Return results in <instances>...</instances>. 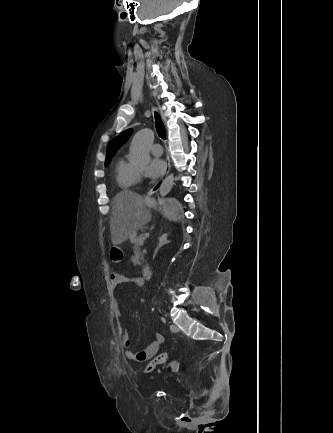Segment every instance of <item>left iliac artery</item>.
Instances as JSON below:
<instances>
[{
    "label": "left iliac artery",
    "mask_w": 333,
    "mask_h": 433,
    "mask_svg": "<svg viewBox=\"0 0 333 433\" xmlns=\"http://www.w3.org/2000/svg\"><path fill=\"white\" fill-rule=\"evenodd\" d=\"M161 320H162L163 322H166L165 318H163V317H161Z\"/></svg>",
    "instance_id": "obj_1"
}]
</instances>
